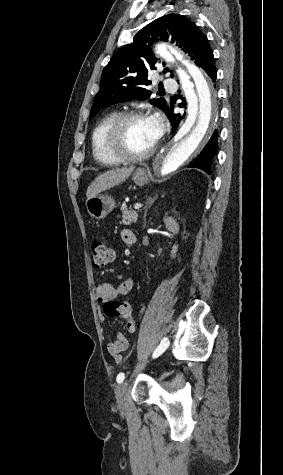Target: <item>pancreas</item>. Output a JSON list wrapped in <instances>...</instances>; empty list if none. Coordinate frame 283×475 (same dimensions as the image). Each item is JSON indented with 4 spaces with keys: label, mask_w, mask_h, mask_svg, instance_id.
Wrapping results in <instances>:
<instances>
[{
    "label": "pancreas",
    "mask_w": 283,
    "mask_h": 475,
    "mask_svg": "<svg viewBox=\"0 0 283 475\" xmlns=\"http://www.w3.org/2000/svg\"><path fill=\"white\" fill-rule=\"evenodd\" d=\"M120 210L122 212V218H123L120 224H124V226H130L132 222H137L138 220L137 212H134V210H127V206L125 202H123Z\"/></svg>",
    "instance_id": "1"
}]
</instances>
